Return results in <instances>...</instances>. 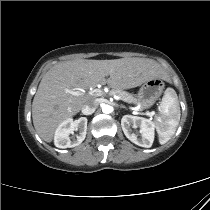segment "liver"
<instances>
[{
    "mask_svg": "<svg viewBox=\"0 0 210 210\" xmlns=\"http://www.w3.org/2000/svg\"><path fill=\"white\" fill-rule=\"evenodd\" d=\"M163 70L152 60L121 58L114 60L66 61L54 65L42 78L32 103V119L38 135L51 142L60 123L80 112L94 95H73L99 84L113 89H130L160 78ZM106 79V77H108Z\"/></svg>",
    "mask_w": 210,
    "mask_h": 210,
    "instance_id": "obj_1",
    "label": "liver"
}]
</instances>
